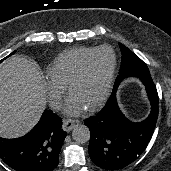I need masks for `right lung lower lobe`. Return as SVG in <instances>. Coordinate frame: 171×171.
<instances>
[{
  "instance_id": "obj_1",
  "label": "right lung lower lobe",
  "mask_w": 171,
  "mask_h": 171,
  "mask_svg": "<svg viewBox=\"0 0 171 171\" xmlns=\"http://www.w3.org/2000/svg\"><path fill=\"white\" fill-rule=\"evenodd\" d=\"M62 119L45 110L38 124L25 136L0 137V157L16 171H53L66 137Z\"/></svg>"
}]
</instances>
